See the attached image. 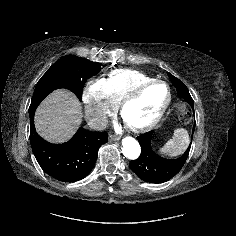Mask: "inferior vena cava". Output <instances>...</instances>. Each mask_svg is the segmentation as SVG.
Masks as SVG:
<instances>
[{
    "label": "inferior vena cava",
    "mask_w": 236,
    "mask_h": 236,
    "mask_svg": "<svg viewBox=\"0 0 236 236\" xmlns=\"http://www.w3.org/2000/svg\"><path fill=\"white\" fill-rule=\"evenodd\" d=\"M108 119L105 115L98 116L89 122V126L94 130H103L107 127Z\"/></svg>",
    "instance_id": "602c4592"
}]
</instances>
